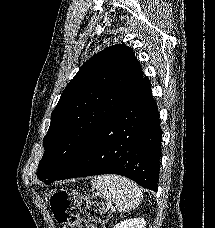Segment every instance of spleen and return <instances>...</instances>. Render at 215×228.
Instances as JSON below:
<instances>
[{
	"label": "spleen",
	"instance_id": "obj_1",
	"mask_svg": "<svg viewBox=\"0 0 215 228\" xmlns=\"http://www.w3.org/2000/svg\"><path fill=\"white\" fill-rule=\"evenodd\" d=\"M93 190H99L105 194L106 198H112L115 208L119 212H128L140 204L142 192L132 180L116 176V174H106V176H94L91 182Z\"/></svg>",
	"mask_w": 215,
	"mask_h": 228
}]
</instances>
